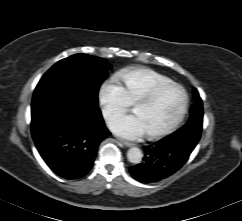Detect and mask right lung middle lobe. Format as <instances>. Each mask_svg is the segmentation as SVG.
<instances>
[{"instance_id": "obj_1", "label": "right lung middle lobe", "mask_w": 242, "mask_h": 221, "mask_svg": "<svg viewBox=\"0 0 242 221\" xmlns=\"http://www.w3.org/2000/svg\"><path fill=\"white\" fill-rule=\"evenodd\" d=\"M111 65L102 58L75 54L57 62L35 88L32 106L45 100L72 94L85 108L98 107V90Z\"/></svg>"}]
</instances>
